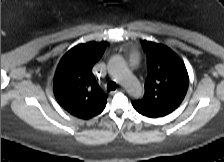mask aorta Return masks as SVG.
Instances as JSON below:
<instances>
[{
	"label": "aorta",
	"instance_id": "1",
	"mask_svg": "<svg viewBox=\"0 0 224 162\" xmlns=\"http://www.w3.org/2000/svg\"><path fill=\"white\" fill-rule=\"evenodd\" d=\"M108 72L132 97L140 98L143 95V88L139 80L128 69L122 57L114 56L110 59Z\"/></svg>",
	"mask_w": 224,
	"mask_h": 162
}]
</instances>
